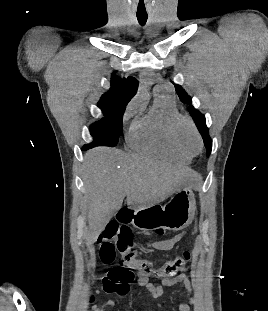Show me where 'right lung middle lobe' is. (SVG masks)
<instances>
[{"label":"right lung middle lobe","instance_id":"right-lung-middle-lobe-1","mask_svg":"<svg viewBox=\"0 0 268 311\" xmlns=\"http://www.w3.org/2000/svg\"><path fill=\"white\" fill-rule=\"evenodd\" d=\"M104 117L94 122L90 128V134L93 141L83 146V150L93 148L95 146L115 147L118 144L119 136L123 129L124 110H116L98 105Z\"/></svg>","mask_w":268,"mask_h":311}]
</instances>
